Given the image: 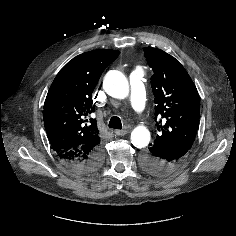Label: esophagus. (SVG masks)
I'll use <instances>...</instances> for the list:
<instances>
[{"label":"esophagus","mask_w":236,"mask_h":236,"mask_svg":"<svg viewBox=\"0 0 236 236\" xmlns=\"http://www.w3.org/2000/svg\"><path fill=\"white\" fill-rule=\"evenodd\" d=\"M114 133L118 136H124L128 133L127 130H115Z\"/></svg>","instance_id":"obj_1"}]
</instances>
